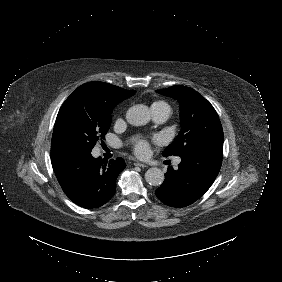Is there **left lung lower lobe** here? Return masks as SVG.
Masks as SVG:
<instances>
[{"label": "left lung lower lobe", "instance_id": "left-lung-lower-lobe-1", "mask_svg": "<svg viewBox=\"0 0 282 282\" xmlns=\"http://www.w3.org/2000/svg\"><path fill=\"white\" fill-rule=\"evenodd\" d=\"M180 157L178 170L169 166L155 192L164 204L176 208L192 204L210 188L222 164V148L203 146Z\"/></svg>", "mask_w": 282, "mask_h": 282}]
</instances>
